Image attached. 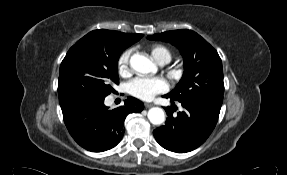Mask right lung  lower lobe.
<instances>
[{
  "instance_id": "1",
  "label": "right lung lower lobe",
  "mask_w": 287,
  "mask_h": 175,
  "mask_svg": "<svg viewBox=\"0 0 287 175\" xmlns=\"http://www.w3.org/2000/svg\"><path fill=\"white\" fill-rule=\"evenodd\" d=\"M143 108V103L133 97H128L124 106L112 110L104 105V99L74 101L61 106L70 135L81 147L92 152L115 147L123 137L125 117Z\"/></svg>"
}]
</instances>
